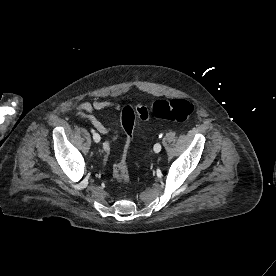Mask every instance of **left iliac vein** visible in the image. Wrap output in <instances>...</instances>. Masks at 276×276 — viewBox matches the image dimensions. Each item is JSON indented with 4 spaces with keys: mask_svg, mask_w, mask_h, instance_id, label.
<instances>
[{
    "mask_svg": "<svg viewBox=\"0 0 276 276\" xmlns=\"http://www.w3.org/2000/svg\"><path fill=\"white\" fill-rule=\"evenodd\" d=\"M161 148H162V146H161L160 143H156V144L154 145V151H155L156 153H159V152L161 151Z\"/></svg>",
    "mask_w": 276,
    "mask_h": 276,
    "instance_id": "obj_1",
    "label": "left iliac vein"
}]
</instances>
